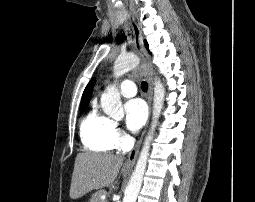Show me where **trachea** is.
<instances>
[{"label": "trachea", "mask_w": 255, "mask_h": 202, "mask_svg": "<svg viewBox=\"0 0 255 202\" xmlns=\"http://www.w3.org/2000/svg\"><path fill=\"white\" fill-rule=\"evenodd\" d=\"M141 87H142V90H143L144 92H146L147 89H148V84H147V82L143 81V82L141 83Z\"/></svg>", "instance_id": "1"}]
</instances>
